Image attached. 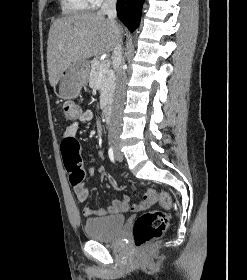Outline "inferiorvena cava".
<instances>
[{
    "instance_id": "obj_1",
    "label": "inferior vena cava",
    "mask_w": 247,
    "mask_h": 280,
    "mask_svg": "<svg viewBox=\"0 0 247 280\" xmlns=\"http://www.w3.org/2000/svg\"><path fill=\"white\" fill-rule=\"evenodd\" d=\"M116 2L117 0H104L101 10L99 11L102 15H108V19L118 36V43L115 46L112 54V60L114 70L116 74V91L114 97L113 113L111 117V123L109 127L108 139L111 143L119 140L121 131V114L125 101V85H126V73L123 69V58H122V39L119 29L116 25Z\"/></svg>"
}]
</instances>
